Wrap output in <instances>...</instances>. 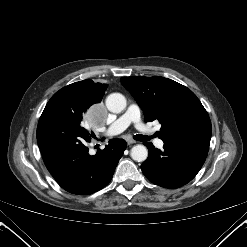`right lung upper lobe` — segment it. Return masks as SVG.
I'll use <instances>...</instances> for the list:
<instances>
[{
    "instance_id": "obj_1",
    "label": "right lung upper lobe",
    "mask_w": 247,
    "mask_h": 247,
    "mask_svg": "<svg viewBox=\"0 0 247 247\" xmlns=\"http://www.w3.org/2000/svg\"><path fill=\"white\" fill-rule=\"evenodd\" d=\"M68 87L75 88L79 92L93 97L96 101H101L104 95V91L107 88V85L101 83H94L92 80L87 79L70 84L68 85Z\"/></svg>"
}]
</instances>
